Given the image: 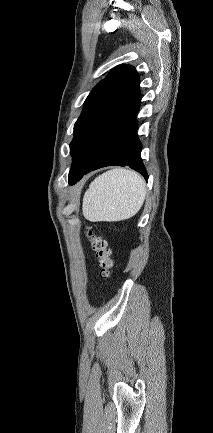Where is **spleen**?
<instances>
[{"instance_id": "obj_1", "label": "spleen", "mask_w": 213, "mask_h": 433, "mask_svg": "<svg viewBox=\"0 0 213 433\" xmlns=\"http://www.w3.org/2000/svg\"><path fill=\"white\" fill-rule=\"evenodd\" d=\"M145 196V181L138 173L114 168L89 185L83 197V215L92 222L126 220L140 210Z\"/></svg>"}]
</instances>
